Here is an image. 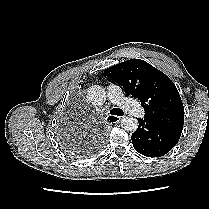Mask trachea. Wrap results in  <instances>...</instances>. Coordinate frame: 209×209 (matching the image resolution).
Masks as SVG:
<instances>
[{
  "instance_id": "3493384b",
  "label": "trachea",
  "mask_w": 209,
  "mask_h": 209,
  "mask_svg": "<svg viewBox=\"0 0 209 209\" xmlns=\"http://www.w3.org/2000/svg\"><path fill=\"white\" fill-rule=\"evenodd\" d=\"M110 114L117 115V116H123L124 115V112L121 109H119V108H113L110 111Z\"/></svg>"
}]
</instances>
